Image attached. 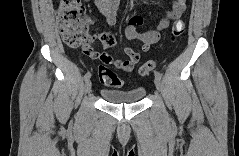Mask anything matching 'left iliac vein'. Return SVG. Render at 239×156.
Listing matches in <instances>:
<instances>
[{
    "mask_svg": "<svg viewBox=\"0 0 239 156\" xmlns=\"http://www.w3.org/2000/svg\"><path fill=\"white\" fill-rule=\"evenodd\" d=\"M154 83H155L157 91L160 92L161 91V81H160V79L155 77Z\"/></svg>",
    "mask_w": 239,
    "mask_h": 156,
    "instance_id": "4c4485c4",
    "label": "left iliac vein"
}]
</instances>
